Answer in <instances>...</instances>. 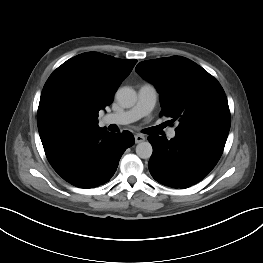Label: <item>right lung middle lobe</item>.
Returning a JSON list of instances; mask_svg holds the SVG:
<instances>
[{
  "label": "right lung middle lobe",
  "instance_id": "dd1d6c3e",
  "mask_svg": "<svg viewBox=\"0 0 263 263\" xmlns=\"http://www.w3.org/2000/svg\"><path fill=\"white\" fill-rule=\"evenodd\" d=\"M48 122L51 130L59 136L91 129L88 110L69 96H61L51 104Z\"/></svg>",
  "mask_w": 263,
  "mask_h": 263
}]
</instances>
